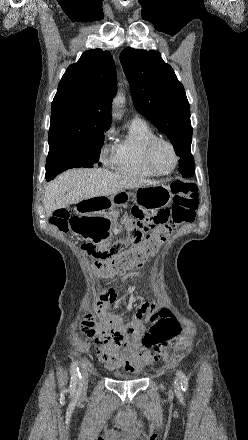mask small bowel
<instances>
[{
    "label": "small bowel",
    "mask_w": 248,
    "mask_h": 440,
    "mask_svg": "<svg viewBox=\"0 0 248 440\" xmlns=\"http://www.w3.org/2000/svg\"><path fill=\"white\" fill-rule=\"evenodd\" d=\"M109 291V290H108ZM106 291V292H108ZM112 292L108 299L102 298L88 311L82 321L84 333L95 340L100 362L107 368L123 366L134 371L143 368L149 362L147 354L139 352V342L145 333V320L151 309L149 303L142 304L130 320L113 313L109 304L115 301ZM101 318L99 322L95 317Z\"/></svg>",
    "instance_id": "small-bowel-1"
}]
</instances>
